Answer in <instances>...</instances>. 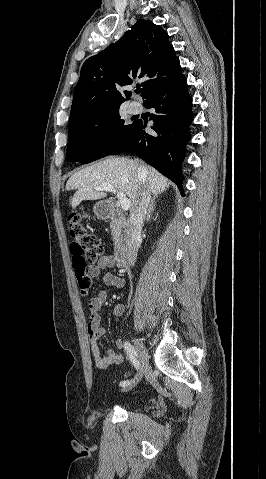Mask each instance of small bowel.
<instances>
[{"mask_svg": "<svg viewBox=\"0 0 266 479\" xmlns=\"http://www.w3.org/2000/svg\"><path fill=\"white\" fill-rule=\"evenodd\" d=\"M114 266V259L110 255L102 256L98 263L89 269L88 274L91 278L101 277L105 285L117 289L124 287L125 282L119 275L106 272L107 269ZM107 300L106 290H100L89 301L90 318L87 324V333L90 342V348L94 363L97 368L105 369L112 365L120 364L123 360V355L120 352L122 349V340L115 339L114 344L116 349H110L105 355L101 353L99 347V340L105 335V329L102 326V317L100 312L103 310ZM125 307L123 304H117L113 308V315L121 317L124 314Z\"/></svg>", "mask_w": 266, "mask_h": 479, "instance_id": "obj_1", "label": "small bowel"}]
</instances>
